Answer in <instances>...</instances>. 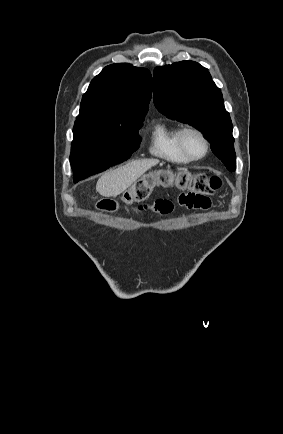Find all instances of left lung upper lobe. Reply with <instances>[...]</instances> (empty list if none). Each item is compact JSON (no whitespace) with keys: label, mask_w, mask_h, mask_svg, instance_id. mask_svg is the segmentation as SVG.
<instances>
[{"label":"left lung upper lobe","mask_w":283,"mask_h":434,"mask_svg":"<svg viewBox=\"0 0 283 434\" xmlns=\"http://www.w3.org/2000/svg\"><path fill=\"white\" fill-rule=\"evenodd\" d=\"M153 75L156 108L166 117L201 131L215 156L229 171H235L233 125L208 69L194 61H180L156 67Z\"/></svg>","instance_id":"5c2ea615"}]
</instances>
